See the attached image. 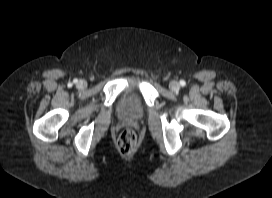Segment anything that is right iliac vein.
<instances>
[{
  "instance_id": "obj_1",
  "label": "right iliac vein",
  "mask_w": 272,
  "mask_h": 198,
  "mask_svg": "<svg viewBox=\"0 0 272 198\" xmlns=\"http://www.w3.org/2000/svg\"><path fill=\"white\" fill-rule=\"evenodd\" d=\"M77 85L80 88H84L86 86V82L84 80H80Z\"/></svg>"
}]
</instances>
